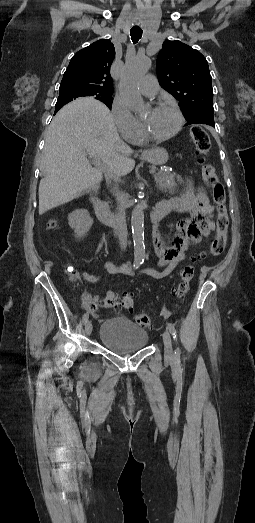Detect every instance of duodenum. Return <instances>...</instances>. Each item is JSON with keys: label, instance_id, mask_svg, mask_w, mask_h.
Returning <instances> with one entry per match:
<instances>
[{"label": "duodenum", "instance_id": "410a0bca", "mask_svg": "<svg viewBox=\"0 0 255 523\" xmlns=\"http://www.w3.org/2000/svg\"><path fill=\"white\" fill-rule=\"evenodd\" d=\"M99 181L95 179L89 186V202L91 203L94 213L105 225L116 226L117 218L110 211L108 206L98 197ZM171 211V204L169 200H161L156 203L153 210L150 212V221L157 224L163 217Z\"/></svg>", "mask_w": 255, "mask_h": 523}]
</instances>
